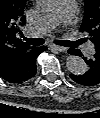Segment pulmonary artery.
I'll return each instance as SVG.
<instances>
[{
	"mask_svg": "<svg viewBox=\"0 0 100 118\" xmlns=\"http://www.w3.org/2000/svg\"><path fill=\"white\" fill-rule=\"evenodd\" d=\"M76 7V0H60L58 8L52 14L47 15L29 27L28 31L30 35H44L60 23L70 24L73 20ZM87 53H93V46L91 44L88 45Z\"/></svg>",
	"mask_w": 100,
	"mask_h": 118,
	"instance_id": "pulmonary-artery-1",
	"label": "pulmonary artery"
}]
</instances>
